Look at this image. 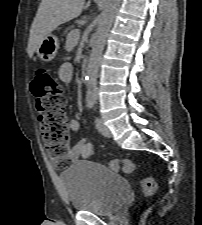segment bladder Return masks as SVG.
Here are the masks:
<instances>
[{
    "label": "bladder",
    "instance_id": "31cf9c89",
    "mask_svg": "<svg viewBox=\"0 0 202 225\" xmlns=\"http://www.w3.org/2000/svg\"><path fill=\"white\" fill-rule=\"evenodd\" d=\"M61 179L74 211L102 216L114 214L130 192V183L123 175L89 160L72 164Z\"/></svg>",
    "mask_w": 202,
    "mask_h": 225
}]
</instances>
